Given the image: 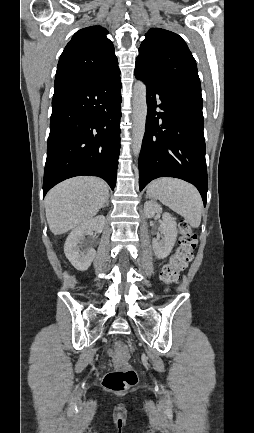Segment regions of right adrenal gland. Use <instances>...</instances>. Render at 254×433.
<instances>
[{"label":"right adrenal gland","instance_id":"obj_1","mask_svg":"<svg viewBox=\"0 0 254 433\" xmlns=\"http://www.w3.org/2000/svg\"><path fill=\"white\" fill-rule=\"evenodd\" d=\"M108 206H109V197L107 198V201H106L105 205L103 206V208L108 207Z\"/></svg>","mask_w":254,"mask_h":433}]
</instances>
